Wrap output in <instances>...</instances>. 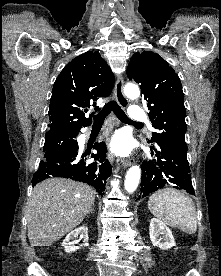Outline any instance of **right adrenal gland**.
<instances>
[{"label":"right adrenal gland","instance_id":"1","mask_svg":"<svg viewBox=\"0 0 221 276\" xmlns=\"http://www.w3.org/2000/svg\"><path fill=\"white\" fill-rule=\"evenodd\" d=\"M93 212H94V208L92 207V208L90 209V211L88 212V214H93Z\"/></svg>","mask_w":221,"mask_h":276}]
</instances>
